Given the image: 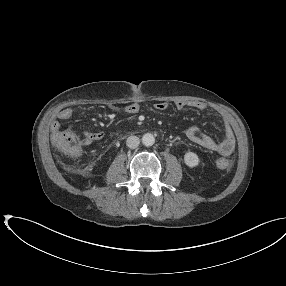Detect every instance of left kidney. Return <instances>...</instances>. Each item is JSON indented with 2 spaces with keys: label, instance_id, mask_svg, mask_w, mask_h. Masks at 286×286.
<instances>
[{
  "label": "left kidney",
  "instance_id": "1",
  "mask_svg": "<svg viewBox=\"0 0 286 286\" xmlns=\"http://www.w3.org/2000/svg\"><path fill=\"white\" fill-rule=\"evenodd\" d=\"M184 162L188 167L193 168L199 165L200 160L196 153L188 151L184 155Z\"/></svg>",
  "mask_w": 286,
  "mask_h": 286
}]
</instances>
